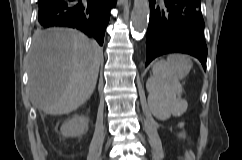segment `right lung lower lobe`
I'll return each mask as SVG.
<instances>
[{
  "label": "right lung lower lobe",
  "instance_id": "obj_1",
  "mask_svg": "<svg viewBox=\"0 0 242 160\" xmlns=\"http://www.w3.org/2000/svg\"><path fill=\"white\" fill-rule=\"evenodd\" d=\"M117 0H39L38 21L44 28L78 29L103 45L110 10Z\"/></svg>",
  "mask_w": 242,
  "mask_h": 160
}]
</instances>
